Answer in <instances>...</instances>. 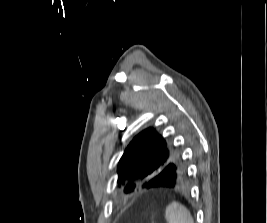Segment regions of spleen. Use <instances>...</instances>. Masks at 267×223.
<instances>
[{
    "mask_svg": "<svg viewBox=\"0 0 267 223\" xmlns=\"http://www.w3.org/2000/svg\"><path fill=\"white\" fill-rule=\"evenodd\" d=\"M165 219L168 223H194L190 211L178 202H172L167 206Z\"/></svg>",
    "mask_w": 267,
    "mask_h": 223,
    "instance_id": "spleen-1",
    "label": "spleen"
}]
</instances>
